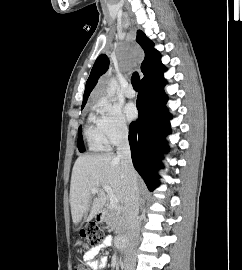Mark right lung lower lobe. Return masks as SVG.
Instances as JSON below:
<instances>
[{"label": "right lung lower lobe", "instance_id": "1", "mask_svg": "<svg viewBox=\"0 0 242 270\" xmlns=\"http://www.w3.org/2000/svg\"><path fill=\"white\" fill-rule=\"evenodd\" d=\"M161 65L141 81L137 98L139 117L130 124L129 144L134 167L150 190L159 185L158 169L161 168V153L168 151L164 137L170 133L167 119L171 118L164 104L165 80Z\"/></svg>", "mask_w": 242, "mask_h": 270}]
</instances>
